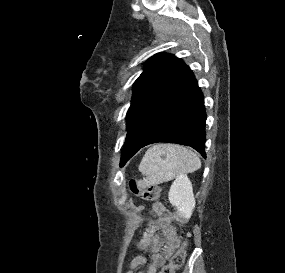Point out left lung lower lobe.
<instances>
[{
    "instance_id": "0a47b994",
    "label": "left lung lower lobe",
    "mask_w": 285,
    "mask_h": 273,
    "mask_svg": "<svg viewBox=\"0 0 285 273\" xmlns=\"http://www.w3.org/2000/svg\"><path fill=\"white\" fill-rule=\"evenodd\" d=\"M205 124L203 94L186 66L173 87L128 130L120 166L144 146L158 142L187 145L206 158Z\"/></svg>"
}]
</instances>
